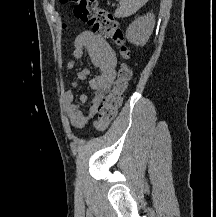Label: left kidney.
Masks as SVG:
<instances>
[{"label":"left kidney","mask_w":216,"mask_h":217,"mask_svg":"<svg viewBox=\"0 0 216 217\" xmlns=\"http://www.w3.org/2000/svg\"><path fill=\"white\" fill-rule=\"evenodd\" d=\"M154 24V15L151 13L138 17L129 25L126 31V38L137 46H143L148 41Z\"/></svg>","instance_id":"obj_1"}]
</instances>
